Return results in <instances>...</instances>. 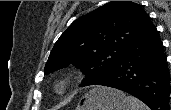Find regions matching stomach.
Returning a JSON list of instances; mask_svg holds the SVG:
<instances>
[{
	"instance_id": "stomach-1",
	"label": "stomach",
	"mask_w": 171,
	"mask_h": 110,
	"mask_svg": "<svg viewBox=\"0 0 171 110\" xmlns=\"http://www.w3.org/2000/svg\"><path fill=\"white\" fill-rule=\"evenodd\" d=\"M76 110H129V105L124 93L97 87L84 95Z\"/></svg>"
}]
</instances>
